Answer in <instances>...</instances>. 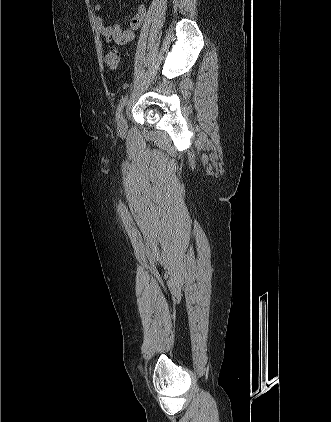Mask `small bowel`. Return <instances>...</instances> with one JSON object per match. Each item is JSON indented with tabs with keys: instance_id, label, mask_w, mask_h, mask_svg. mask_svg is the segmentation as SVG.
Masks as SVG:
<instances>
[{
	"instance_id": "small-bowel-1",
	"label": "small bowel",
	"mask_w": 331,
	"mask_h": 422,
	"mask_svg": "<svg viewBox=\"0 0 331 422\" xmlns=\"http://www.w3.org/2000/svg\"><path fill=\"white\" fill-rule=\"evenodd\" d=\"M147 0H140V4L136 7L133 14L128 18L126 26L120 20H117L113 25H107L102 16H97L95 19L98 32L105 37L107 43L114 41L118 45H126L134 38V32L140 27L145 13V3ZM96 11L102 9L100 3L94 5Z\"/></svg>"
}]
</instances>
